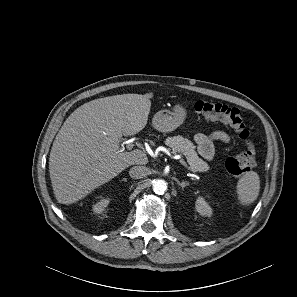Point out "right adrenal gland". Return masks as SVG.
Returning a JSON list of instances; mask_svg holds the SVG:
<instances>
[{
    "instance_id": "obj_1",
    "label": "right adrenal gland",
    "mask_w": 297,
    "mask_h": 297,
    "mask_svg": "<svg viewBox=\"0 0 297 297\" xmlns=\"http://www.w3.org/2000/svg\"><path fill=\"white\" fill-rule=\"evenodd\" d=\"M122 181L126 182V181H127V179H126V178H124V179H122Z\"/></svg>"
}]
</instances>
